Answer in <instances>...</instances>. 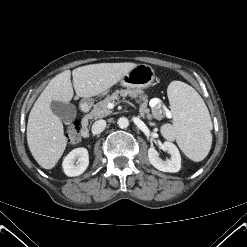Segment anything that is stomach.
Here are the masks:
<instances>
[{
    "mask_svg": "<svg viewBox=\"0 0 247 247\" xmlns=\"http://www.w3.org/2000/svg\"><path fill=\"white\" fill-rule=\"evenodd\" d=\"M155 79V73L151 66L139 64L125 74L120 80L123 87L141 90L150 87Z\"/></svg>",
    "mask_w": 247,
    "mask_h": 247,
    "instance_id": "obj_1",
    "label": "stomach"
}]
</instances>
